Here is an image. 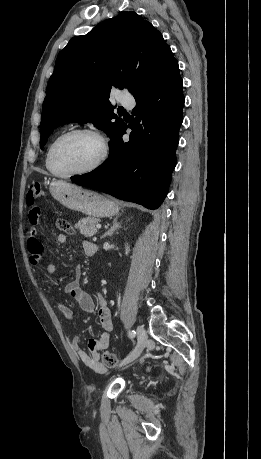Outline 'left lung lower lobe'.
Masks as SVG:
<instances>
[{"mask_svg":"<svg viewBox=\"0 0 261 459\" xmlns=\"http://www.w3.org/2000/svg\"><path fill=\"white\" fill-rule=\"evenodd\" d=\"M134 98L135 117L115 136L106 162L71 179L75 184L154 210L168 193L183 121L185 99L177 60ZM127 127L132 132L129 142L124 143L122 135Z\"/></svg>","mask_w":261,"mask_h":459,"instance_id":"0a47b994","label":"left lung lower lobe"}]
</instances>
